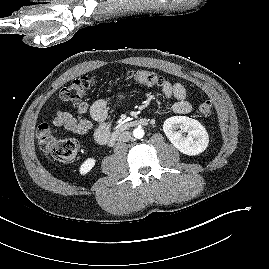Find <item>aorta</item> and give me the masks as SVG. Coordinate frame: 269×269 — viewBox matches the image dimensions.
I'll list each match as a JSON object with an SVG mask.
<instances>
[{
    "instance_id": "obj_1",
    "label": "aorta",
    "mask_w": 269,
    "mask_h": 269,
    "mask_svg": "<svg viewBox=\"0 0 269 269\" xmlns=\"http://www.w3.org/2000/svg\"><path fill=\"white\" fill-rule=\"evenodd\" d=\"M133 136L137 139H141L144 136V130L141 127L135 128L133 130Z\"/></svg>"
}]
</instances>
